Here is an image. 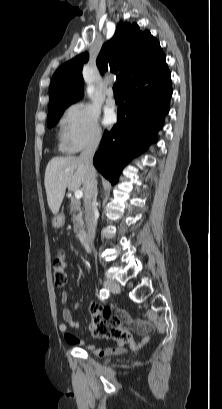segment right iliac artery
Returning a JSON list of instances; mask_svg holds the SVG:
<instances>
[{"mask_svg":"<svg viewBox=\"0 0 222 409\" xmlns=\"http://www.w3.org/2000/svg\"><path fill=\"white\" fill-rule=\"evenodd\" d=\"M99 296H100V298H101L102 300L107 299L108 296H109V291L106 290V289H101Z\"/></svg>","mask_w":222,"mask_h":409,"instance_id":"82829eb1","label":"right iliac artery"}]
</instances>
